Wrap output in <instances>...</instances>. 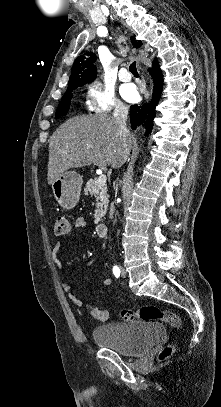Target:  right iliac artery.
<instances>
[{"label":"right iliac artery","instance_id":"obj_1","mask_svg":"<svg viewBox=\"0 0 221 407\" xmlns=\"http://www.w3.org/2000/svg\"><path fill=\"white\" fill-rule=\"evenodd\" d=\"M120 273H121L120 268L118 266H114L113 267V274L115 275V277L118 278L120 276Z\"/></svg>","mask_w":221,"mask_h":407}]
</instances>
